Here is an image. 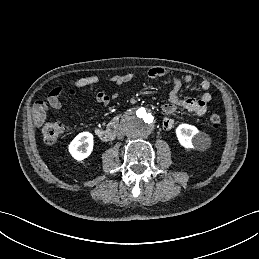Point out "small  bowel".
<instances>
[{
	"label": "small bowel",
	"mask_w": 259,
	"mask_h": 259,
	"mask_svg": "<svg viewBox=\"0 0 259 259\" xmlns=\"http://www.w3.org/2000/svg\"><path fill=\"white\" fill-rule=\"evenodd\" d=\"M148 76L150 78H157V77H164L171 75V72L169 70L156 67L151 68L147 72ZM134 78L133 73H126L123 75H114L108 79V82L116 85H124L130 81H132ZM173 79V88L169 94L168 101L163 104L162 111L168 115L165 117L162 121V127L164 130H170L174 126V120L170 116L173 115L177 108H183L186 111L193 113L198 116H202L207 111V104L211 100V94L209 92L210 89V82L206 79L201 80L198 82L197 86L202 91V94L199 98L194 97H182L180 94L182 81L185 83H191L193 81L192 77L190 75H183L182 77H176L172 76ZM100 81V77L97 75L87 76L78 79L75 82V86L78 88H83L87 86H92L97 84ZM74 95V91L58 87L53 89L46 99L44 100H37L32 108V116L34 123L37 126H41L48 113L49 108L53 109H60L63 106V99L66 96ZM117 97V94H107L104 91H98L96 93V100L103 104L107 105L109 104L113 99Z\"/></svg>",
	"instance_id": "1"
}]
</instances>
